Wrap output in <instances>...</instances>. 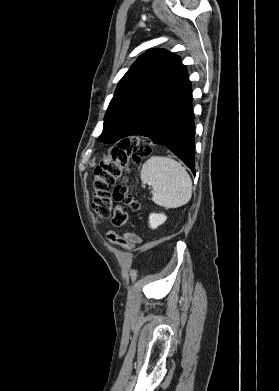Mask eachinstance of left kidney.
Wrapping results in <instances>:
<instances>
[{
  "label": "left kidney",
  "mask_w": 279,
  "mask_h": 391,
  "mask_svg": "<svg viewBox=\"0 0 279 391\" xmlns=\"http://www.w3.org/2000/svg\"><path fill=\"white\" fill-rule=\"evenodd\" d=\"M167 217L163 213H151L149 216V226L152 229H156L159 225L166 221Z\"/></svg>",
  "instance_id": "obj_1"
}]
</instances>
